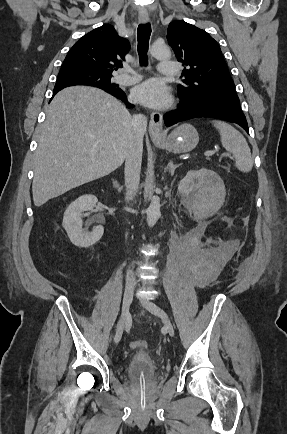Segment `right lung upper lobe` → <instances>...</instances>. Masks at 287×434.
Instances as JSON below:
<instances>
[{
  "label": "right lung upper lobe",
  "mask_w": 287,
  "mask_h": 434,
  "mask_svg": "<svg viewBox=\"0 0 287 434\" xmlns=\"http://www.w3.org/2000/svg\"><path fill=\"white\" fill-rule=\"evenodd\" d=\"M130 49L128 40L120 37L113 26L103 25L83 36L67 54L61 70H85L103 75H112L121 68L124 56ZM78 82L56 83L54 89Z\"/></svg>",
  "instance_id": "cb5924a9"
}]
</instances>
